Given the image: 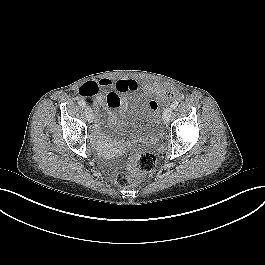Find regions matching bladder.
<instances>
[{
	"label": "bladder",
	"mask_w": 265,
	"mask_h": 265,
	"mask_svg": "<svg viewBox=\"0 0 265 265\" xmlns=\"http://www.w3.org/2000/svg\"><path fill=\"white\" fill-rule=\"evenodd\" d=\"M125 105L122 127L127 134L134 137L153 136L158 131L157 112L144 91L132 90Z\"/></svg>",
	"instance_id": "bladder-1"
}]
</instances>
